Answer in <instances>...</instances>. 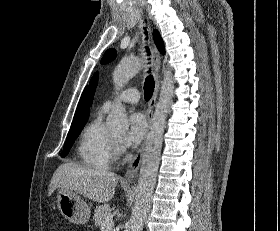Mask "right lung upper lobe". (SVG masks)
<instances>
[{"mask_svg":"<svg viewBox=\"0 0 280 231\" xmlns=\"http://www.w3.org/2000/svg\"><path fill=\"white\" fill-rule=\"evenodd\" d=\"M86 96H87V88H85V90L81 96V99H80L79 104L76 109L75 116L73 118L71 128L85 125L88 120L89 105H88V100H87Z\"/></svg>","mask_w":280,"mask_h":231,"instance_id":"right-lung-upper-lobe-1","label":"right lung upper lobe"}]
</instances>
